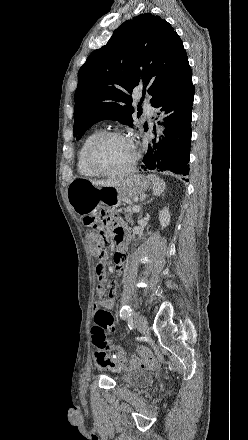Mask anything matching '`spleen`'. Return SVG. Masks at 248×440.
Returning a JSON list of instances; mask_svg holds the SVG:
<instances>
[{"instance_id":"obj_1","label":"spleen","mask_w":248,"mask_h":440,"mask_svg":"<svg viewBox=\"0 0 248 440\" xmlns=\"http://www.w3.org/2000/svg\"><path fill=\"white\" fill-rule=\"evenodd\" d=\"M148 179L153 183V194L157 196L161 195L166 187L165 182L156 175H148Z\"/></svg>"}]
</instances>
